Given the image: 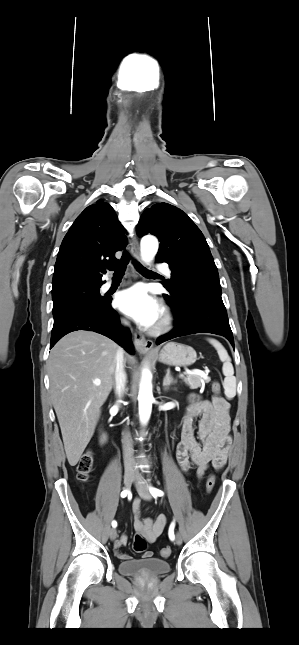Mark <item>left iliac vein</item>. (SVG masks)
<instances>
[{
	"mask_svg": "<svg viewBox=\"0 0 299 645\" xmlns=\"http://www.w3.org/2000/svg\"><path fill=\"white\" fill-rule=\"evenodd\" d=\"M136 489L140 497L143 498L144 500L149 501L152 499V496L148 490V487L142 482L141 476L139 474H137L136 476ZM181 543H182V537L178 533L176 535V544L181 545Z\"/></svg>",
	"mask_w": 299,
	"mask_h": 645,
	"instance_id": "4c4485c4",
	"label": "left iliac vein"
}]
</instances>
